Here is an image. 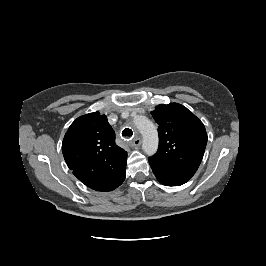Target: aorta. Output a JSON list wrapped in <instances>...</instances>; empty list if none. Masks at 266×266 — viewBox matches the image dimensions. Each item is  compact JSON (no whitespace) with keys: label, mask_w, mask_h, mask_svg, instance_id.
<instances>
[{"label":"aorta","mask_w":266,"mask_h":266,"mask_svg":"<svg viewBox=\"0 0 266 266\" xmlns=\"http://www.w3.org/2000/svg\"><path fill=\"white\" fill-rule=\"evenodd\" d=\"M134 124L142 134V149L151 156L156 153L158 149V133L155 125L145 116H137L134 119Z\"/></svg>","instance_id":"aorta-1"}]
</instances>
